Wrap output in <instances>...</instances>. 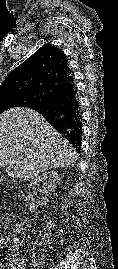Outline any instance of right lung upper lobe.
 I'll list each match as a JSON object with an SVG mask.
<instances>
[{
	"instance_id": "cb5924a9",
	"label": "right lung upper lobe",
	"mask_w": 118,
	"mask_h": 269,
	"mask_svg": "<svg viewBox=\"0 0 118 269\" xmlns=\"http://www.w3.org/2000/svg\"><path fill=\"white\" fill-rule=\"evenodd\" d=\"M73 83L66 56L55 46L47 44L7 76L0 87V97L26 95L41 103Z\"/></svg>"
}]
</instances>
